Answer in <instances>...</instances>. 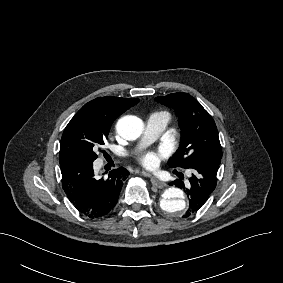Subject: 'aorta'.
Segmentation results:
<instances>
[{
    "label": "aorta",
    "mask_w": 283,
    "mask_h": 283,
    "mask_svg": "<svg viewBox=\"0 0 283 283\" xmlns=\"http://www.w3.org/2000/svg\"><path fill=\"white\" fill-rule=\"evenodd\" d=\"M116 130L122 138L132 141L140 137L144 130V123L138 117L124 116L118 120ZM160 207L167 213L181 216L186 209L184 192L177 187L166 189L160 200Z\"/></svg>",
    "instance_id": "obj_1"
}]
</instances>
